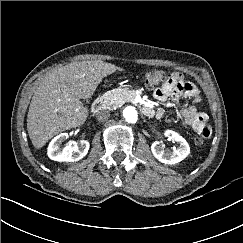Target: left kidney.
<instances>
[{
    "label": "left kidney",
    "mask_w": 243,
    "mask_h": 243,
    "mask_svg": "<svg viewBox=\"0 0 243 243\" xmlns=\"http://www.w3.org/2000/svg\"><path fill=\"white\" fill-rule=\"evenodd\" d=\"M164 135L171 141H175L179 144L178 148H173L172 151L165 150L162 145L155 141L151 145V151L154 157L164 164H176L185 159L190 153V147L187 141L179 135L177 132L172 130L165 131Z\"/></svg>",
    "instance_id": "obj_1"
}]
</instances>
